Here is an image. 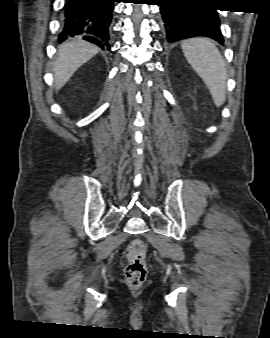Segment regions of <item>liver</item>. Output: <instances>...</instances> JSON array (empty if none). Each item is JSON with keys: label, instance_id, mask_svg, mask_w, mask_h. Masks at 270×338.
Wrapping results in <instances>:
<instances>
[{"label": "liver", "instance_id": "obj_1", "mask_svg": "<svg viewBox=\"0 0 270 338\" xmlns=\"http://www.w3.org/2000/svg\"><path fill=\"white\" fill-rule=\"evenodd\" d=\"M98 52L96 45L83 40H74L59 46L58 58L54 63L55 88L61 89L76 70Z\"/></svg>", "mask_w": 270, "mask_h": 338}]
</instances>
